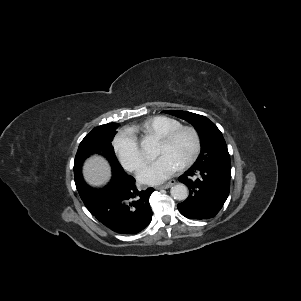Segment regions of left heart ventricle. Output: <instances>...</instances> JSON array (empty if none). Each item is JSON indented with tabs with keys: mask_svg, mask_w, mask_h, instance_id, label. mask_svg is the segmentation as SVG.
I'll return each mask as SVG.
<instances>
[{
	"mask_svg": "<svg viewBox=\"0 0 301 301\" xmlns=\"http://www.w3.org/2000/svg\"><path fill=\"white\" fill-rule=\"evenodd\" d=\"M193 147L192 135L186 132L171 144L159 141L156 153L159 156L166 154L181 164L191 154Z\"/></svg>",
	"mask_w": 301,
	"mask_h": 301,
	"instance_id": "1",
	"label": "left heart ventricle"
}]
</instances>
